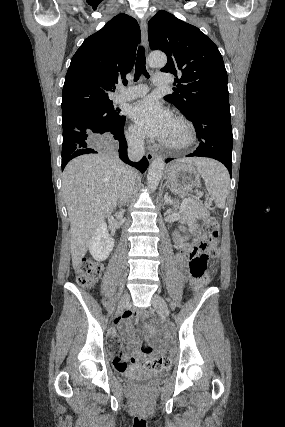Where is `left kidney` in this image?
<instances>
[{"mask_svg": "<svg viewBox=\"0 0 285 427\" xmlns=\"http://www.w3.org/2000/svg\"><path fill=\"white\" fill-rule=\"evenodd\" d=\"M164 200H165V202L167 203V204H172L173 203V200H171L170 199V197L168 196V194H165L164 195ZM188 226H190V227H192L193 226V223H192V221H190V219H189V222H188ZM191 231V230H190ZM188 239V237L187 238H185V240H187Z\"/></svg>", "mask_w": 285, "mask_h": 427, "instance_id": "obj_1", "label": "left kidney"}]
</instances>
